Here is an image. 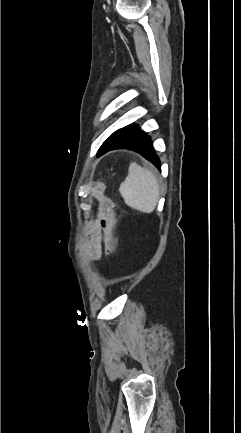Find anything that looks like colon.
<instances>
[{"label":"colon","instance_id":"1","mask_svg":"<svg viewBox=\"0 0 241 433\" xmlns=\"http://www.w3.org/2000/svg\"><path fill=\"white\" fill-rule=\"evenodd\" d=\"M104 191V186L99 185L95 190V195L100 201V211L109 230L107 249L111 256H115L119 247V241L117 237L118 220L112 211L114 202L111 198L105 195Z\"/></svg>","mask_w":241,"mask_h":433}]
</instances>
